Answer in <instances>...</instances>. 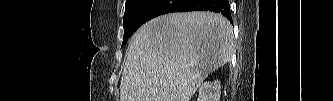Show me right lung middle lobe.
Wrapping results in <instances>:
<instances>
[{"instance_id":"obj_1","label":"right lung middle lobe","mask_w":333,"mask_h":101,"mask_svg":"<svg viewBox=\"0 0 333 101\" xmlns=\"http://www.w3.org/2000/svg\"><path fill=\"white\" fill-rule=\"evenodd\" d=\"M146 0H126L125 13L123 18L124 39L122 46L127 42L129 37L136 31L134 20Z\"/></svg>"}]
</instances>
